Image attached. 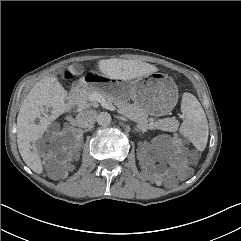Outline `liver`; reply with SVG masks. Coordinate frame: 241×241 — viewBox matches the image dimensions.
<instances>
[{
	"label": "liver",
	"mask_w": 241,
	"mask_h": 241,
	"mask_svg": "<svg viewBox=\"0 0 241 241\" xmlns=\"http://www.w3.org/2000/svg\"><path fill=\"white\" fill-rule=\"evenodd\" d=\"M100 72L111 79L130 81L158 69L148 63L133 60L106 59L98 63ZM67 94L55 77H45L38 82L24 99L17 116V144L23 161L36 173L41 174L43 167L40 157L31 151L32 145L50 125V118L40 115L52 108L54 115L66 109ZM40 118V124L35 122Z\"/></svg>",
	"instance_id": "6515ba94"
}]
</instances>
